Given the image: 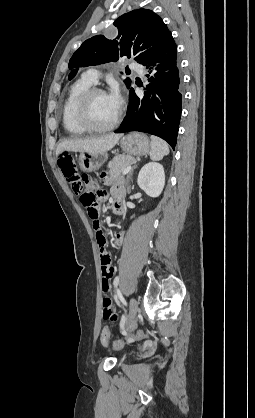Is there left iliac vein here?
Wrapping results in <instances>:
<instances>
[{
	"mask_svg": "<svg viewBox=\"0 0 255 418\" xmlns=\"http://www.w3.org/2000/svg\"><path fill=\"white\" fill-rule=\"evenodd\" d=\"M138 312V302L136 299L131 298L129 303V316L126 321V327L130 326V324L134 321Z\"/></svg>",
	"mask_w": 255,
	"mask_h": 418,
	"instance_id": "4c4485c4",
	"label": "left iliac vein"
}]
</instances>
